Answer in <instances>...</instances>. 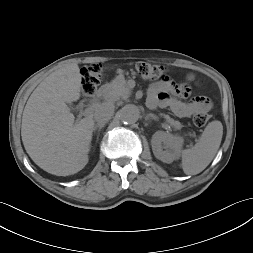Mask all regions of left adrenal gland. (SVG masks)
Instances as JSON below:
<instances>
[{
	"label": "left adrenal gland",
	"instance_id": "1",
	"mask_svg": "<svg viewBox=\"0 0 253 253\" xmlns=\"http://www.w3.org/2000/svg\"><path fill=\"white\" fill-rule=\"evenodd\" d=\"M150 118L153 119V120H157V117L154 114H148L146 116V120H149Z\"/></svg>",
	"mask_w": 253,
	"mask_h": 253
}]
</instances>
